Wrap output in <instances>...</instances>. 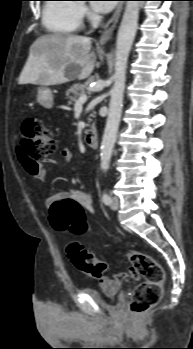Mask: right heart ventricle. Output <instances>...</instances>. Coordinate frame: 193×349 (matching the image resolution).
Listing matches in <instances>:
<instances>
[{
	"instance_id": "e07e8e85",
	"label": "right heart ventricle",
	"mask_w": 193,
	"mask_h": 349,
	"mask_svg": "<svg viewBox=\"0 0 193 349\" xmlns=\"http://www.w3.org/2000/svg\"><path fill=\"white\" fill-rule=\"evenodd\" d=\"M42 22L53 35H71L81 27L79 4L73 0H49L44 5Z\"/></svg>"
}]
</instances>
